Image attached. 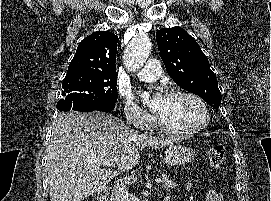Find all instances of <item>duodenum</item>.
<instances>
[{
    "label": "duodenum",
    "mask_w": 271,
    "mask_h": 201,
    "mask_svg": "<svg viewBox=\"0 0 271 201\" xmlns=\"http://www.w3.org/2000/svg\"><path fill=\"white\" fill-rule=\"evenodd\" d=\"M109 200V188L108 186H104L98 192V201H108ZM164 201H169V198L166 197Z\"/></svg>",
    "instance_id": "1"
}]
</instances>
